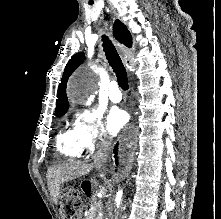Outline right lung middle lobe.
Masks as SVG:
<instances>
[{"label":"right lung middle lobe","instance_id":"dd1d6c3e","mask_svg":"<svg viewBox=\"0 0 221 219\" xmlns=\"http://www.w3.org/2000/svg\"><path fill=\"white\" fill-rule=\"evenodd\" d=\"M63 114H65V112H63V113H61V114H58L57 116H61V115H63Z\"/></svg>","mask_w":221,"mask_h":219}]
</instances>
